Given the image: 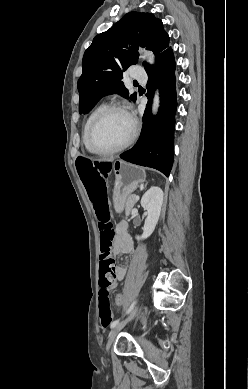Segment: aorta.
Segmentation results:
<instances>
[{
    "mask_svg": "<svg viewBox=\"0 0 248 389\" xmlns=\"http://www.w3.org/2000/svg\"><path fill=\"white\" fill-rule=\"evenodd\" d=\"M146 58L148 59L150 64H154V55L150 51L142 50ZM159 107V93L156 92L153 98V103H152V112L153 114L157 113Z\"/></svg>",
    "mask_w": 248,
    "mask_h": 389,
    "instance_id": "aorta-1",
    "label": "aorta"
}]
</instances>
